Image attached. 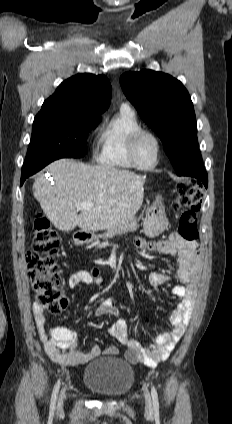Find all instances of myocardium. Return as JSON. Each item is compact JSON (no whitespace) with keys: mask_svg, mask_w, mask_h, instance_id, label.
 <instances>
[{"mask_svg":"<svg viewBox=\"0 0 232 424\" xmlns=\"http://www.w3.org/2000/svg\"><path fill=\"white\" fill-rule=\"evenodd\" d=\"M144 135H148V136L152 137L154 139V141L156 143V147H157L156 158H155L154 162L151 165H148V166H143V165L139 164V162L137 161L136 156H135L136 144H137L138 140ZM161 150H162V145H161L160 138L153 131L148 130V129H144V128H141V129L137 130L136 132H134L131 135L129 143H128L129 159H130L131 163L133 164V166L137 169H140V170H151V169L155 168L160 161Z\"/></svg>","mask_w":232,"mask_h":424,"instance_id":"obj_1","label":"myocardium"}]
</instances>
